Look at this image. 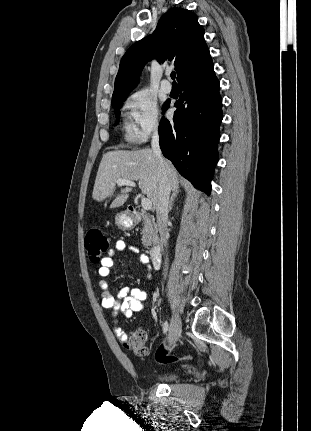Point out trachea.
Here are the masks:
<instances>
[{"label":"trachea","mask_w":311,"mask_h":431,"mask_svg":"<svg viewBox=\"0 0 311 431\" xmlns=\"http://www.w3.org/2000/svg\"><path fill=\"white\" fill-rule=\"evenodd\" d=\"M171 78H172V80H175V78H176V72H172L171 73ZM173 83L176 84L175 81H173Z\"/></svg>","instance_id":"1"}]
</instances>
